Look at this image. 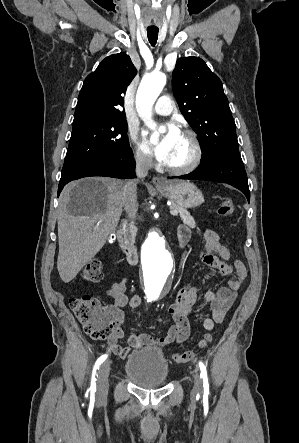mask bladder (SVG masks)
Wrapping results in <instances>:
<instances>
[{
    "mask_svg": "<svg viewBox=\"0 0 299 443\" xmlns=\"http://www.w3.org/2000/svg\"><path fill=\"white\" fill-rule=\"evenodd\" d=\"M124 371L135 385L151 389L166 383L169 376V365L160 349L142 348L128 356Z\"/></svg>",
    "mask_w": 299,
    "mask_h": 443,
    "instance_id": "31cf9c89",
    "label": "bladder"
}]
</instances>
